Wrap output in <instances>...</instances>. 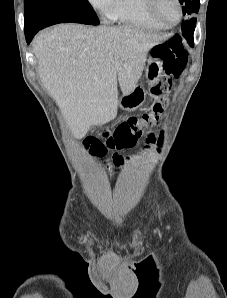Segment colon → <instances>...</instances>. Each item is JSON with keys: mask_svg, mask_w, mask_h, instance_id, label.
<instances>
[{"mask_svg": "<svg viewBox=\"0 0 227 298\" xmlns=\"http://www.w3.org/2000/svg\"><path fill=\"white\" fill-rule=\"evenodd\" d=\"M153 56L159 59L164 70V76L160 82L151 88L155 101L149 112L141 116L130 117L114 130H105L102 133L103 139L111 150L133 147L146 129L159 122L167 106L168 96L174 88V80L182 74L186 67L188 53L181 37L174 35L166 42L156 45L153 48ZM93 139L98 138L94 137Z\"/></svg>", "mask_w": 227, "mask_h": 298, "instance_id": "1", "label": "colon"}]
</instances>
